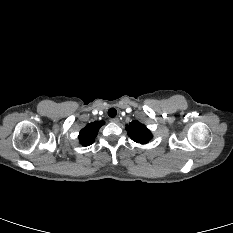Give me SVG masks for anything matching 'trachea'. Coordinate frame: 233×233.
I'll return each instance as SVG.
<instances>
[{
	"label": "trachea",
	"mask_w": 233,
	"mask_h": 233,
	"mask_svg": "<svg viewBox=\"0 0 233 233\" xmlns=\"http://www.w3.org/2000/svg\"><path fill=\"white\" fill-rule=\"evenodd\" d=\"M109 117H115L117 115V110L115 108H110L108 110Z\"/></svg>",
	"instance_id": "1"
}]
</instances>
